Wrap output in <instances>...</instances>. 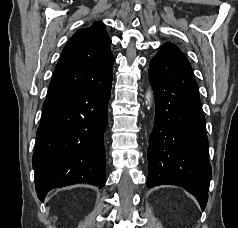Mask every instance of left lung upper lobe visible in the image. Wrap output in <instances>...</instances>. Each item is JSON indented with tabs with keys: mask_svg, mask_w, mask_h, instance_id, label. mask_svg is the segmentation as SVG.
Here are the masks:
<instances>
[{
	"mask_svg": "<svg viewBox=\"0 0 238 228\" xmlns=\"http://www.w3.org/2000/svg\"><path fill=\"white\" fill-rule=\"evenodd\" d=\"M161 48L170 49V50H172L174 52H177V53H180V54L183 55V53L179 49H177L174 45H172L170 43H165Z\"/></svg>",
	"mask_w": 238,
	"mask_h": 228,
	"instance_id": "left-lung-upper-lobe-1",
	"label": "left lung upper lobe"
}]
</instances>
